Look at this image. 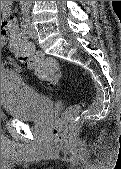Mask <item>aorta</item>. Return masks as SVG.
<instances>
[{"mask_svg":"<svg viewBox=\"0 0 121 169\" xmlns=\"http://www.w3.org/2000/svg\"><path fill=\"white\" fill-rule=\"evenodd\" d=\"M32 1H20L22 4H30Z\"/></svg>","mask_w":121,"mask_h":169,"instance_id":"obj_1","label":"aorta"}]
</instances>
